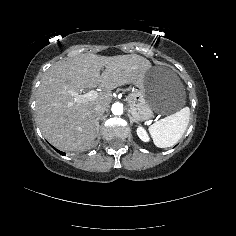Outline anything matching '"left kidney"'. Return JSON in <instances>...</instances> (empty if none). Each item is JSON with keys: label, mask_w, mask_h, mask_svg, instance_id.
Returning a JSON list of instances; mask_svg holds the SVG:
<instances>
[{"label": "left kidney", "mask_w": 236, "mask_h": 236, "mask_svg": "<svg viewBox=\"0 0 236 236\" xmlns=\"http://www.w3.org/2000/svg\"><path fill=\"white\" fill-rule=\"evenodd\" d=\"M136 133L141 141L145 143H149L151 141L148 131L143 126H138L136 128Z\"/></svg>", "instance_id": "left-kidney-1"}]
</instances>
